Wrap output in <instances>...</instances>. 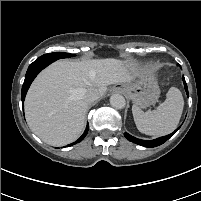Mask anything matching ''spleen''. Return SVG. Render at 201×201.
I'll return each mask as SVG.
<instances>
[{
	"mask_svg": "<svg viewBox=\"0 0 201 201\" xmlns=\"http://www.w3.org/2000/svg\"><path fill=\"white\" fill-rule=\"evenodd\" d=\"M183 107L184 100L180 90L171 87L166 94V100L156 110L143 112L133 105L132 113L140 132L146 135L162 136L176 129Z\"/></svg>",
	"mask_w": 201,
	"mask_h": 201,
	"instance_id": "3e777b00",
	"label": "spleen"
}]
</instances>
